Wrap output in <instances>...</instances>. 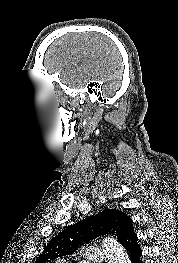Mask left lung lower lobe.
Segmentation results:
<instances>
[{
	"label": "left lung lower lobe",
	"instance_id": "0a47b994",
	"mask_svg": "<svg viewBox=\"0 0 178 263\" xmlns=\"http://www.w3.org/2000/svg\"><path fill=\"white\" fill-rule=\"evenodd\" d=\"M119 242L125 247L129 253L130 260L132 263H142L140 257L142 255V250L137 243V235L133 229V223L131 218L125 223L122 232L119 237Z\"/></svg>",
	"mask_w": 178,
	"mask_h": 263
}]
</instances>
